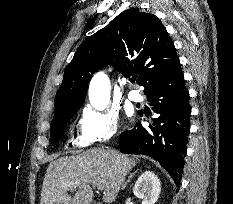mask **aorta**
Returning <instances> with one entry per match:
<instances>
[{"label": "aorta", "mask_w": 233, "mask_h": 204, "mask_svg": "<svg viewBox=\"0 0 233 204\" xmlns=\"http://www.w3.org/2000/svg\"><path fill=\"white\" fill-rule=\"evenodd\" d=\"M110 81L103 72L96 73L89 85V101L96 110H104L110 100Z\"/></svg>", "instance_id": "762f6f07"}]
</instances>
